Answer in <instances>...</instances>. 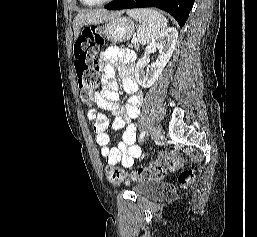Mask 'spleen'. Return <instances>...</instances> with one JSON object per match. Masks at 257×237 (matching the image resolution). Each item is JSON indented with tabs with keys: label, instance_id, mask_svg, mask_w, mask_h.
<instances>
[{
	"label": "spleen",
	"instance_id": "1",
	"mask_svg": "<svg viewBox=\"0 0 257 237\" xmlns=\"http://www.w3.org/2000/svg\"><path fill=\"white\" fill-rule=\"evenodd\" d=\"M127 15L141 23L137 37L142 45L151 43L167 27V19L154 9H132Z\"/></svg>",
	"mask_w": 257,
	"mask_h": 237
}]
</instances>
